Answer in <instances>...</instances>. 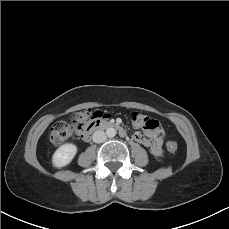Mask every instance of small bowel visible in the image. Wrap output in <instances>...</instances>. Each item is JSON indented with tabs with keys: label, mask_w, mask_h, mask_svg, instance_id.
I'll list each match as a JSON object with an SVG mask.
<instances>
[{
	"label": "small bowel",
	"mask_w": 229,
	"mask_h": 229,
	"mask_svg": "<svg viewBox=\"0 0 229 229\" xmlns=\"http://www.w3.org/2000/svg\"><path fill=\"white\" fill-rule=\"evenodd\" d=\"M146 135L151 137V139L147 138L140 132H136L133 134V138L142 144L143 146L149 148L151 154L155 157H159L162 153V137L161 130L155 132L151 130H146Z\"/></svg>",
	"instance_id": "c3829d8e"
}]
</instances>
